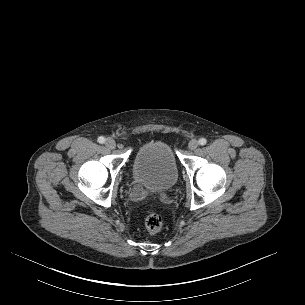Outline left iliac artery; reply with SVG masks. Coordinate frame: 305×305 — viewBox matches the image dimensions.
<instances>
[{
  "mask_svg": "<svg viewBox=\"0 0 305 305\" xmlns=\"http://www.w3.org/2000/svg\"><path fill=\"white\" fill-rule=\"evenodd\" d=\"M207 143V140L205 138H200L199 139V144L200 145H205Z\"/></svg>",
  "mask_w": 305,
  "mask_h": 305,
  "instance_id": "obj_1",
  "label": "left iliac artery"
}]
</instances>
